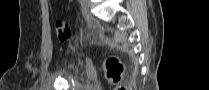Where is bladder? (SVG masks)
Here are the masks:
<instances>
[{
	"label": "bladder",
	"mask_w": 209,
	"mask_h": 90,
	"mask_svg": "<svg viewBox=\"0 0 209 90\" xmlns=\"http://www.w3.org/2000/svg\"><path fill=\"white\" fill-rule=\"evenodd\" d=\"M68 69L72 72V75H77L78 74V71H79V66L76 65V64H70L68 65Z\"/></svg>",
	"instance_id": "bladder-1"
}]
</instances>
